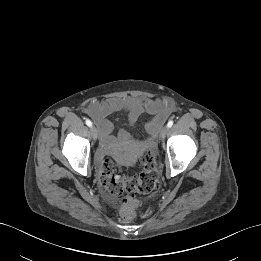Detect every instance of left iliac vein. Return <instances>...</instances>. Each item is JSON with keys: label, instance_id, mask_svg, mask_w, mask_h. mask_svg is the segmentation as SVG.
<instances>
[{"label": "left iliac vein", "instance_id": "obj_1", "mask_svg": "<svg viewBox=\"0 0 261 261\" xmlns=\"http://www.w3.org/2000/svg\"><path fill=\"white\" fill-rule=\"evenodd\" d=\"M169 131L168 126H163L160 130V138L164 139Z\"/></svg>", "mask_w": 261, "mask_h": 261}]
</instances>
